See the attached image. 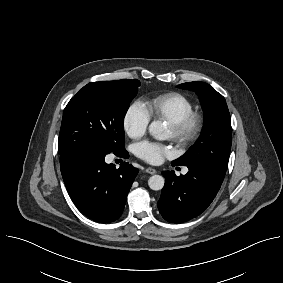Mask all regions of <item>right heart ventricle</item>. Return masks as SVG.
Returning <instances> with one entry per match:
<instances>
[{
  "label": "right heart ventricle",
  "instance_id": "obj_1",
  "mask_svg": "<svg viewBox=\"0 0 283 283\" xmlns=\"http://www.w3.org/2000/svg\"><path fill=\"white\" fill-rule=\"evenodd\" d=\"M145 108L150 118L173 123L190 113L193 110V104L181 93L167 92L147 100Z\"/></svg>",
  "mask_w": 283,
  "mask_h": 283
}]
</instances>
